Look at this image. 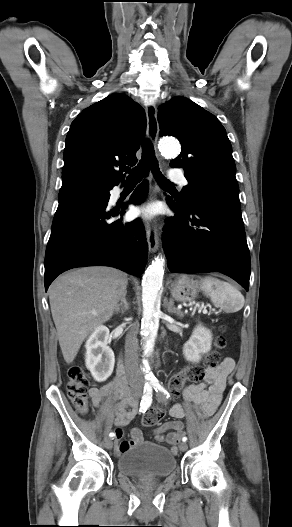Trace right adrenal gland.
Instances as JSON below:
<instances>
[{
  "label": "right adrenal gland",
  "mask_w": 292,
  "mask_h": 527,
  "mask_svg": "<svg viewBox=\"0 0 292 527\" xmlns=\"http://www.w3.org/2000/svg\"><path fill=\"white\" fill-rule=\"evenodd\" d=\"M126 294L127 292L122 295L120 303L115 308V313L124 314L129 309V303L127 302Z\"/></svg>",
  "instance_id": "obj_1"
}]
</instances>
